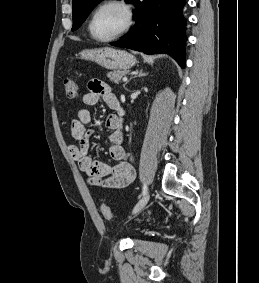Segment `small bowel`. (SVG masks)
Listing matches in <instances>:
<instances>
[{"instance_id": "small-bowel-1", "label": "small bowel", "mask_w": 259, "mask_h": 283, "mask_svg": "<svg viewBox=\"0 0 259 283\" xmlns=\"http://www.w3.org/2000/svg\"><path fill=\"white\" fill-rule=\"evenodd\" d=\"M102 99L112 110L118 111L119 100L110 88L102 81L92 80L88 84V92L83 96L87 106L95 105ZM91 121V112L87 108H79L70 125L71 135L77 144H70L68 152L78 167L93 185L107 188H124L135 179V167L132 156L124 149L121 119L118 115H110L105 119V127L109 130L108 153L115 162L109 165L94 160L89 156L92 130L87 128Z\"/></svg>"}]
</instances>
